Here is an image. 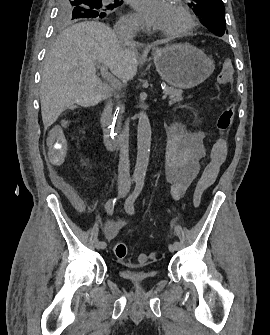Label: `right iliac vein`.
Here are the masks:
<instances>
[{
	"mask_svg": "<svg viewBox=\"0 0 270 335\" xmlns=\"http://www.w3.org/2000/svg\"><path fill=\"white\" fill-rule=\"evenodd\" d=\"M125 190H126L125 186L124 185H120L119 188H118L119 195H124ZM94 246H95L96 249H101L100 248V241L98 239L95 241Z\"/></svg>",
	"mask_w": 270,
	"mask_h": 335,
	"instance_id": "obj_1",
	"label": "right iliac vein"
}]
</instances>
